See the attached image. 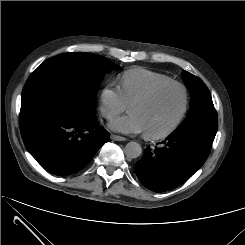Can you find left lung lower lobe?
<instances>
[{
	"instance_id": "obj_1",
	"label": "left lung lower lobe",
	"mask_w": 245,
	"mask_h": 245,
	"mask_svg": "<svg viewBox=\"0 0 245 245\" xmlns=\"http://www.w3.org/2000/svg\"><path fill=\"white\" fill-rule=\"evenodd\" d=\"M163 147L146 148L136 163L140 182L155 192L171 190L189 179L206 161L212 141L192 133L170 134Z\"/></svg>"
}]
</instances>
